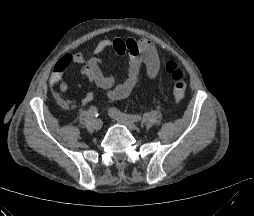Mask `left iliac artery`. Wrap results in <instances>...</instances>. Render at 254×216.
Instances as JSON below:
<instances>
[{
	"label": "left iliac artery",
	"instance_id": "left-iliac-artery-1",
	"mask_svg": "<svg viewBox=\"0 0 254 216\" xmlns=\"http://www.w3.org/2000/svg\"><path fill=\"white\" fill-rule=\"evenodd\" d=\"M110 111L116 115L117 117H120V118H124V119H129L133 122H137L141 119V117L139 115H135V114H129V113H125V112H122L116 108H111Z\"/></svg>",
	"mask_w": 254,
	"mask_h": 216
}]
</instances>
